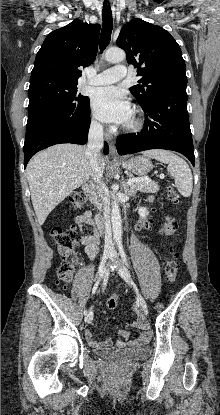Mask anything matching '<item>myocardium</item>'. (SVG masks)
<instances>
[{"mask_svg":"<svg viewBox=\"0 0 220 415\" xmlns=\"http://www.w3.org/2000/svg\"><path fill=\"white\" fill-rule=\"evenodd\" d=\"M142 126H143L142 118L140 117L138 113L135 112L132 118L130 119V121L127 122L125 128L129 131H138L142 128Z\"/></svg>","mask_w":220,"mask_h":415,"instance_id":"f54148a6","label":"myocardium"}]
</instances>
